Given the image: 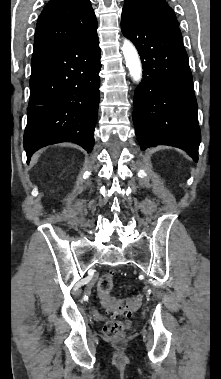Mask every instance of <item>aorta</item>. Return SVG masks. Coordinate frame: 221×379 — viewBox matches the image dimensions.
Returning <instances> with one entry per match:
<instances>
[{"mask_svg":"<svg viewBox=\"0 0 221 379\" xmlns=\"http://www.w3.org/2000/svg\"><path fill=\"white\" fill-rule=\"evenodd\" d=\"M122 52L131 77L138 83L142 77V67L136 48L129 40L125 39Z\"/></svg>","mask_w":221,"mask_h":379,"instance_id":"762f6f07","label":"aorta"}]
</instances>
